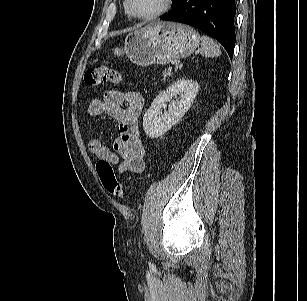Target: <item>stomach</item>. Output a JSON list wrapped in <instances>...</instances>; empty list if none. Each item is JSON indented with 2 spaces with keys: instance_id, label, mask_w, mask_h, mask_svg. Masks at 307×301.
Returning <instances> with one entry per match:
<instances>
[{
  "instance_id": "1",
  "label": "stomach",
  "mask_w": 307,
  "mask_h": 301,
  "mask_svg": "<svg viewBox=\"0 0 307 301\" xmlns=\"http://www.w3.org/2000/svg\"><path fill=\"white\" fill-rule=\"evenodd\" d=\"M200 43L190 26L175 22H153L130 33L124 47H116V56L126 55L136 65L167 64L190 56Z\"/></svg>"
}]
</instances>
